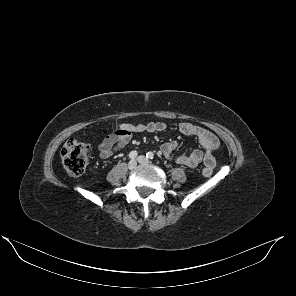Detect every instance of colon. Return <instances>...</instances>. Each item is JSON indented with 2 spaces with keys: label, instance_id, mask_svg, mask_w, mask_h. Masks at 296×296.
<instances>
[{
  "label": "colon",
  "instance_id": "1",
  "mask_svg": "<svg viewBox=\"0 0 296 296\" xmlns=\"http://www.w3.org/2000/svg\"><path fill=\"white\" fill-rule=\"evenodd\" d=\"M90 146L76 139H69L61 150V160L65 170L72 176L81 175L88 163ZM203 175L210 176L213 168L205 165Z\"/></svg>",
  "mask_w": 296,
  "mask_h": 296
}]
</instances>
